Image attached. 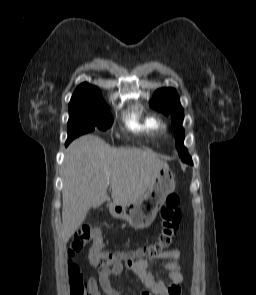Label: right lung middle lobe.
<instances>
[{
    "mask_svg": "<svg viewBox=\"0 0 256 295\" xmlns=\"http://www.w3.org/2000/svg\"><path fill=\"white\" fill-rule=\"evenodd\" d=\"M113 120L104 100H88L69 105L68 145L74 138L95 128L107 130Z\"/></svg>",
    "mask_w": 256,
    "mask_h": 295,
    "instance_id": "1",
    "label": "right lung middle lobe"
}]
</instances>
